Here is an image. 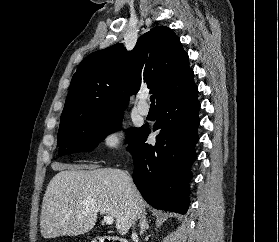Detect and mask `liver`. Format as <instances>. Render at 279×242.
<instances>
[{
    "mask_svg": "<svg viewBox=\"0 0 279 242\" xmlns=\"http://www.w3.org/2000/svg\"><path fill=\"white\" fill-rule=\"evenodd\" d=\"M146 204L124 171L113 168L61 165L49 182L40 216L41 235L55 238L90 231L97 213L112 216L126 235Z\"/></svg>",
    "mask_w": 279,
    "mask_h": 242,
    "instance_id": "1",
    "label": "liver"
}]
</instances>
